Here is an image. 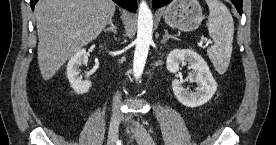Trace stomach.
Segmentation results:
<instances>
[{
  "mask_svg": "<svg viewBox=\"0 0 276 145\" xmlns=\"http://www.w3.org/2000/svg\"><path fill=\"white\" fill-rule=\"evenodd\" d=\"M165 23L182 31L197 29L203 20L197 0H173L163 13Z\"/></svg>",
  "mask_w": 276,
  "mask_h": 145,
  "instance_id": "stomach-1",
  "label": "stomach"
}]
</instances>
